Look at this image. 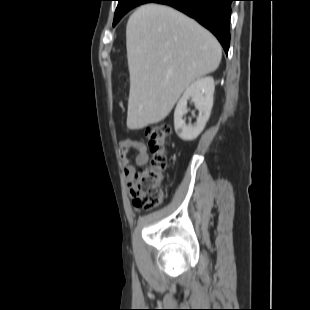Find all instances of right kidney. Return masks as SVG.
<instances>
[{"label":"right kidney","mask_w":310,"mask_h":310,"mask_svg":"<svg viewBox=\"0 0 310 310\" xmlns=\"http://www.w3.org/2000/svg\"><path fill=\"white\" fill-rule=\"evenodd\" d=\"M214 90V79L210 76L197 79L185 90L174 111L175 132L182 140H194L203 131L213 106ZM189 99L194 102L196 109L199 110L194 125H187L183 119V116L188 112L187 102Z\"/></svg>","instance_id":"ca27d5eb"}]
</instances>
